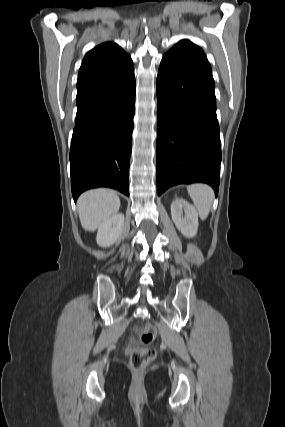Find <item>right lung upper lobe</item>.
I'll return each mask as SVG.
<instances>
[{"label":"right lung upper lobe","instance_id":"right-lung-upper-lobe-1","mask_svg":"<svg viewBox=\"0 0 285 427\" xmlns=\"http://www.w3.org/2000/svg\"><path fill=\"white\" fill-rule=\"evenodd\" d=\"M130 56L114 42L90 50L79 70L77 95L114 81L133 70Z\"/></svg>","mask_w":285,"mask_h":427}]
</instances>
